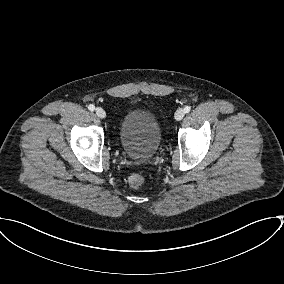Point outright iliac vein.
Listing matches in <instances>:
<instances>
[{"instance_id":"1","label":"right iliac vein","mask_w":284,"mask_h":284,"mask_svg":"<svg viewBox=\"0 0 284 284\" xmlns=\"http://www.w3.org/2000/svg\"><path fill=\"white\" fill-rule=\"evenodd\" d=\"M95 113H96V115H97L99 118H101V119H103V118L106 117V112L104 111V109H102V108H100V107H98V108L95 109Z\"/></svg>"}]
</instances>
